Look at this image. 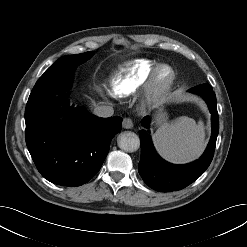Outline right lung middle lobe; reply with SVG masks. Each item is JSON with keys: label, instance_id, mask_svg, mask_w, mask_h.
<instances>
[{"label": "right lung middle lobe", "instance_id": "dd1d6c3e", "mask_svg": "<svg viewBox=\"0 0 247 247\" xmlns=\"http://www.w3.org/2000/svg\"><path fill=\"white\" fill-rule=\"evenodd\" d=\"M92 55V52H85L59 58L39 78L29 98L42 99L51 94L59 95L69 90L72 86L74 69Z\"/></svg>", "mask_w": 247, "mask_h": 247}]
</instances>
